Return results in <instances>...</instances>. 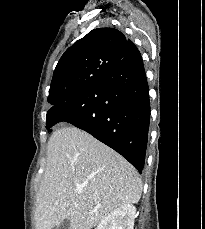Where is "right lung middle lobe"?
Wrapping results in <instances>:
<instances>
[{"mask_svg":"<svg viewBox=\"0 0 205 229\" xmlns=\"http://www.w3.org/2000/svg\"><path fill=\"white\" fill-rule=\"evenodd\" d=\"M102 78H103V77H102ZM102 78H98L97 81L100 80V79H102ZM68 99H69V98H68ZM68 99H65L63 102L67 101Z\"/></svg>","mask_w":205,"mask_h":229,"instance_id":"obj_1","label":"right lung middle lobe"}]
</instances>
